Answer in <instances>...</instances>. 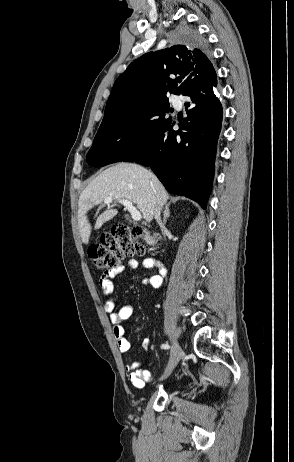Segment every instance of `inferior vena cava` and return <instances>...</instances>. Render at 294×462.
<instances>
[{
  "label": "inferior vena cava",
  "mask_w": 294,
  "mask_h": 462,
  "mask_svg": "<svg viewBox=\"0 0 294 462\" xmlns=\"http://www.w3.org/2000/svg\"><path fill=\"white\" fill-rule=\"evenodd\" d=\"M160 214H161V206L156 205L155 208H154L153 216H154L155 220L158 222V224L160 225L161 229H163V224L161 222Z\"/></svg>",
  "instance_id": "602c4592"
}]
</instances>
